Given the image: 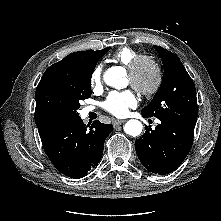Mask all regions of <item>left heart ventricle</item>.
<instances>
[{
  "mask_svg": "<svg viewBox=\"0 0 221 221\" xmlns=\"http://www.w3.org/2000/svg\"><path fill=\"white\" fill-rule=\"evenodd\" d=\"M128 80L129 76H128ZM154 80V72L152 70V68L148 65H143L140 68L139 74H138V82L141 86L143 87H148L149 85L152 84Z\"/></svg>",
  "mask_w": 221,
  "mask_h": 221,
  "instance_id": "left-heart-ventricle-1",
  "label": "left heart ventricle"
}]
</instances>
